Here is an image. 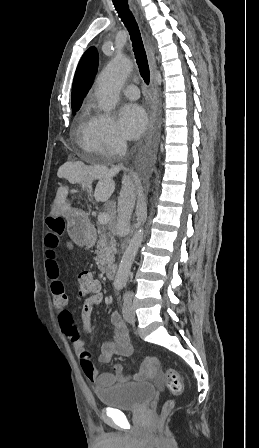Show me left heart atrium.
<instances>
[{"label": "left heart atrium", "mask_w": 259, "mask_h": 448, "mask_svg": "<svg viewBox=\"0 0 259 448\" xmlns=\"http://www.w3.org/2000/svg\"><path fill=\"white\" fill-rule=\"evenodd\" d=\"M147 126V116L144 109L136 103L122 106L119 113V127L127 139L138 138Z\"/></svg>", "instance_id": "1"}]
</instances>
